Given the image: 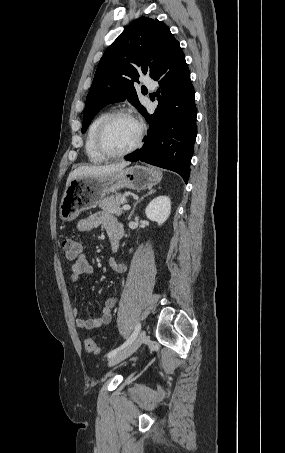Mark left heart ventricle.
Segmentation results:
<instances>
[{"instance_id": "obj_1", "label": "left heart ventricle", "mask_w": 285, "mask_h": 453, "mask_svg": "<svg viewBox=\"0 0 285 453\" xmlns=\"http://www.w3.org/2000/svg\"><path fill=\"white\" fill-rule=\"evenodd\" d=\"M138 132L139 128L135 121L128 117H118L107 127L105 144L114 152L126 150L135 143Z\"/></svg>"}]
</instances>
